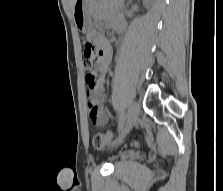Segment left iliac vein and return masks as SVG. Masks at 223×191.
Masks as SVG:
<instances>
[{
  "label": "left iliac vein",
  "mask_w": 223,
  "mask_h": 191,
  "mask_svg": "<svg viewBox=\"0 0 223 191\" xmlns=\"http://www.w3.org/2000/svg\"><path fill=\"white\" fill-rule=\"evenodd\" d=\"M140 113V104L137 101H132L128 110V120L124 128L120 130L119 136L113 141L112 146H118L125 138L128 132L136 125Z\"/></svg>",
  "instance_id": "obj_1"
}]
</instances>
